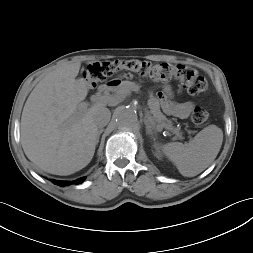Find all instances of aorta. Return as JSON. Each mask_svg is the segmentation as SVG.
Returning <instances> with one entry per match:
<instances>
[{
    "instance_id": "1",
    "label": "aorta",
    "mask_w": 253,
    "mask_h": 253,
    "mask_svg": "<svg viewBox=\"0 0 253 253\" xmlns=\"http://www.w3.org/2000/svg\"><path fill=\"white\" fill-rule=\"evenodd\" d=\"M118 126L130 128L137 122V113L132 107H121L115 112Z\"/></svg>"
}]
</instances>
